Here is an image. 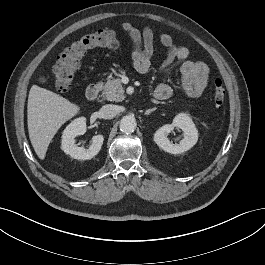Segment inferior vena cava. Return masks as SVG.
<instances>
[{"label": "inferior vena cava", "mask_w": 265, "mask_h": 265, "mask_svg": "<svg viewBox=\"0 0 265 265\" xmlns=\"http://www.w3.org/2000/svg\"><path fill=\"white\" fill-rule=\"evenodd\" d=\"M100 116L103 119H112L118 114V107L116 105L107 104L100 109Z\"/></svg>", "instance_id": "obj_1"}]
</instances>
